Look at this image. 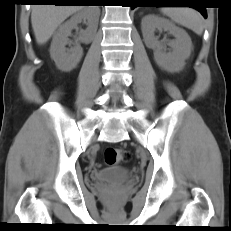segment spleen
<instances>
[{
  "instance_id": "spleen-1",
  "label": "spleen",
  "mask_w": 231,
  "mask_h": 231,
  "mask_svg": "<svg viewBox=\"0 0 231 231\" xmlns=\"http://www.w3.org/2000/svg\"><path fill=\"white\" fill-rule=\"evenodd\" d=\"M162 13L175 23L191 29L200 35L203 31V20L196 10L189 7H164Z\"/></svg>"
}]
</instances>
